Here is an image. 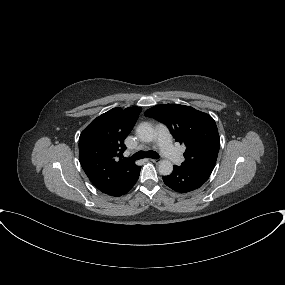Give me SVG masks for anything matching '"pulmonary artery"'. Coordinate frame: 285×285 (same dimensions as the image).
Here are the masks:
<instances>
[{
    "label": "pulmonary artery",
    "mask_w": 285,
    "mask_h": 285,
    "mask_svg": "<svg viewBox=\"0 0 285 285\" xmlns=\"http://www.w3.org/2000/svg\"><path fill=\"white\" fill-rule=\"evenodd\" d=\"M155 134L157 143L163 154L172 163L178 164L181 161V157L171 143V136L168 129L164 125H158Z\"/></svg>",
    "instance_id": "obj_1"
}]
</instances>
